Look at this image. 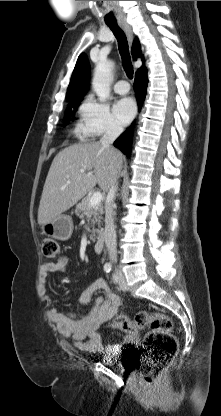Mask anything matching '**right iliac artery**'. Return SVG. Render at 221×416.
<instances>
[{"label":"right iliac artery","instance_id":"1","mask_svg":"<svg viewBox=\"0 0 221 416\" xmlns=\"http://www.w3.org/2000/svg\"><path fill=\"white\" fill-rule=\"evenodd\" d=\"M111 269H112V265H111L110 263H106V264L104 265V271H105L106 273H109V272L111 271Z\"/></svg>","mask_w":221,"mask_h":416}]
</instances>
